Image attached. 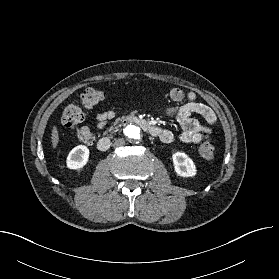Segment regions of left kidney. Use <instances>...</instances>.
<instances>
[{
    "instance_id": "obj_1",
    "label": "left kidney",
    "mask_w": 279,
    "mask_h": 279,
    "mask_svg": "<svg viewBox=\"0 0 279 279\" xmlns=\"http://www.w3.org/2000/svg\"><path fill=\"white\" fill-rule=\"evenodd\" d=\"M174 170L181 177H193L196 167L193 160L184 152H176L172 155Z\"/></svg>"
}]
</instances>
